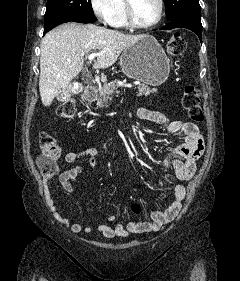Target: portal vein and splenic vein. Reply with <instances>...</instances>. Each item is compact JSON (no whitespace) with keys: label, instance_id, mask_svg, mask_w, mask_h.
Masks as SVG:
<instances>
[{"label":"portal vein and splenic vein","instance_id":"obj_1","mask_svg":"<svg viewBox=\"0 0 240 281\" xmlns=\"http://www.w3.org/2000/svg\"><path fill=\"white\" fill-rule=\"evenodd\" d=\"M102 53H91V54H89L88 55V59H89V61H93L97 56H100ZM126 87H129V88H131L132 86L131 85H129V84H127V85H125Z\"/></svg>","mask_w":240,"mask_h":281}]
</instances>
